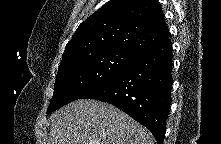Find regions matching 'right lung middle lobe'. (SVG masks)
<instances>
[{"instance_id":"dd1d6c3e","label":"right lung middle lobe","mask_w":221,"mask_h":144,"mask_svg":"<svg viewBox=\"0 0 221 144\" xmlns=\"http://www.w3.org/2000/svg\"><path fill=\"white\" fill-rule=\"evenodd\" d=\"M136 57L126 51L109 50L59 66L54 95L47 113L81 99L89 91L115 77Z\"/></svg>"}]
</instances>
